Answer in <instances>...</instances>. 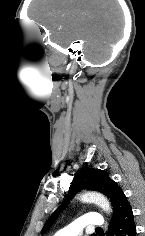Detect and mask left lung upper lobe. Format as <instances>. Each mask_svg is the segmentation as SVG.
<instances>
[{
  "label": "left lung upper lobe",
  "instance_id": "5c2ea615",
  "mask_svg": "<svg viewBox=\"0 0 145 236\" xmlns=\"http://www.w3.org/2000/svg\"><path fill=\"white\" fill-rule=\"evenodd\" d=\"M69 192L63 204L58 207L43 227L42 233L45 232L59 216L60 212L65 209L68 201L83 188L95 190L103 193L110 200L113 207V218L126 211L130 204L124 195L121 187L113 181L108 173L104 170L89 168L79 170L71 183Z\"/></svg>",
  "mask_w": 145,
  "mask_h": 236
}]
</instances>
